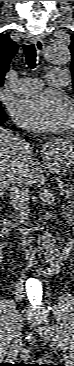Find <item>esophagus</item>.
Masks as SVG:
<instances>
[{"instance_id": "esophagus-1", "label": "esophagus", "mask_w": 74, "mask_h": 366, "mask_svg": "<svg viewBox=\"0 0 74 366\" xmlns=\"http://www.w3.org/2000/svg\"><path fill=\"white\" fill-rule=\"evenodd\" d=\"M31 41L35 44L36 49L40 55L44 53V43L39 37H32ZM44 154L48 153V149L46 147L43 148Z\"/></svg>"}]
</instances>
